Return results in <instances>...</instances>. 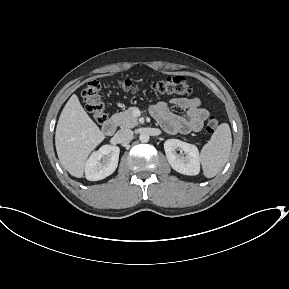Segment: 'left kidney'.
Wrapping results in <instances>:
<instances>
[{
  "label": "left kidney",
  "instance_id": "5707ae66",
  "mask_svg": "<svg viewBox=\"0 0 289 289\" xmlns=\"http://www.w3.org/2000/svg\"><path fill=\"white\" fill-rule=\"evenodd\" d=\"M164 150L170 166L184 175H197L200 172V155L194 144L178 139H168ZM180 150V153L177 151Z\"/></svg>",
  "mask_w": 289,
  "mask_h": 289
}]
</instances>
